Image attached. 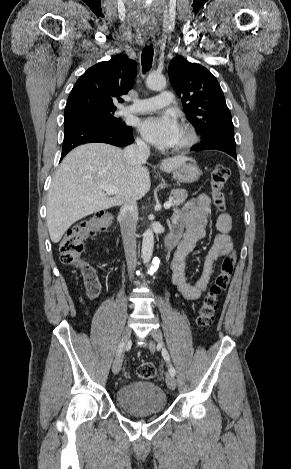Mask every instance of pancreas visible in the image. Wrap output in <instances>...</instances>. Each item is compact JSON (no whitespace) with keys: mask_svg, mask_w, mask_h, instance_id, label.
Wrapping results in <instances>:
<instances>
[{"mask_svg":"<svg viewBox=\"0 0 291 469\" xmlns=\"http://www.w3.org/2000/svg\"><path fill=\"white\" fill-rule=\"evenodd\" d=\"M171 197L174 199L173 206H179L187 199L188 193L184 189H173L171 191Z\"/></svg>","mask_w":291,"mask_h":469,"instance_id":"obj_1","label":"pancreas"}]
</instances>
